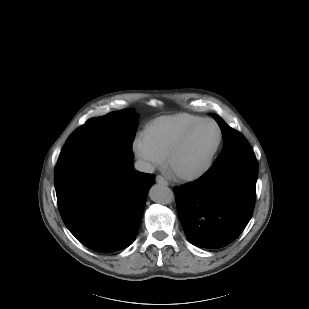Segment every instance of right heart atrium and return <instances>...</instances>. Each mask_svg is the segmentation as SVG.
Masks as SVG:
<instances>
[{
	"mask_svg": "<svg viewBox=\"0 0 309 309\" xmlns=\"http://www.w3.org/2000/svg\"><path fill=\"white\" fill-rule=\"evenodd\" d=\"M132 151L145 170H151L162 164V159L148 146L143 136L133 141Z\"/></svg>",
	"mask_w": 309,
	"mask_h": 309,
	"instance_id": "d8ad5b80",
	"label": "right heart atrium"
}]
</instances>
